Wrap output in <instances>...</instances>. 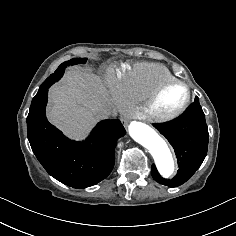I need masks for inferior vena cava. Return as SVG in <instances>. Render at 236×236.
<instances>
[{"mask_svg": "<svg viewBox=\"0 0 236 236\" xmlns=\"http://www.w3.org/2000/svg\"><path fill=\"white\" fill-rule=\"evenodd\" d=\"M97 113L99 114L100 118H108L112 115V110L109 106H101Z\"/></svg>", "mask_w": 236, "mask_h": 236, "instance_id": "obj_1", "label": "inferior vena cava"}]
</instances>
